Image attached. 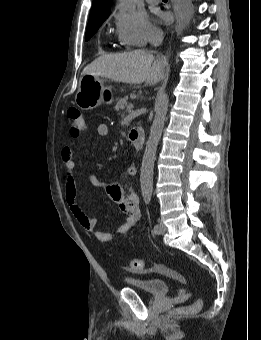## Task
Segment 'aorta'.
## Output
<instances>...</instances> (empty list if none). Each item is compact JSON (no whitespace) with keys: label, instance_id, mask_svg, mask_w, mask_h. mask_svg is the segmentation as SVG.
<instances>
[{"label":"aorta","instance_id":"762f6f07","mask_svg":"<svg viewBox=\"0 0 261 340\" xmlns=\"http://www.w3.org/2000/svg\"><path fill=\"white\" fill-rule=\"evenodd\" d=\"M119 6L125 11H130L135 7V0H119ZM168 106L169 97L167 93L161 92L155 104V116L141 165L140 187L142 194L145 196L151 195L153 191V170L156 151L164 129Z\"/></svg>","mask_w":261,"mask_h":340}]
</instances>
